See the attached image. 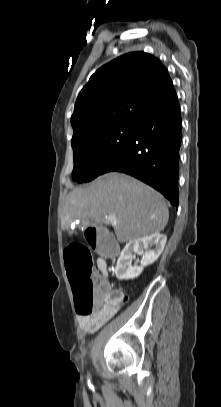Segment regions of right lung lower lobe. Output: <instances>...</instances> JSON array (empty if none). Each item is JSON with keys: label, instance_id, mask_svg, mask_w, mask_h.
<instances>
[{"label": "right lung lower lobe", "instance_id": "obj_1", "mask_svg": "<svg viewBox=\"0 0 221 407\" xmlns=\"http://www.w3.org/2000/svg\"><path fill=\"white\" fill-rule=\"evenodd\" d=\"M182 119L176 92L135 124L125 147L103 170L132 175L161 192L178 207Z\"/></svg>", "mask_w": 221, "mask_h": 407}]
</instances>
